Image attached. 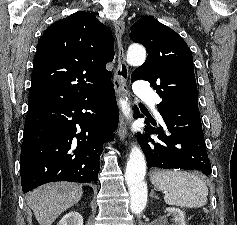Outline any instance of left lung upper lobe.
<instances>
[{
    "instance_id": "obj_1",
    "label": "left lung upper lobe",
    "mask_w": 237,
    "mask_h": 225,
    "mask_svg": "<svg viewBox=\"0 0 237 225\" xmlns=\"http://www.w3.org/2000/svg\"><path fill=\"white\" fill-rule=\"evenodd\" d=\"M130 38L145 46L148 56L132 73V81H149L162 102L159 111L198 104L193 58L186 42L154 17L140 18L131 27Z\"/></svg>"
}]
</instances>
